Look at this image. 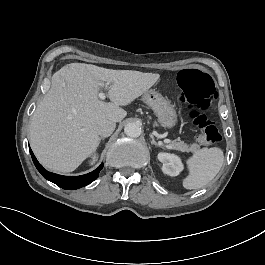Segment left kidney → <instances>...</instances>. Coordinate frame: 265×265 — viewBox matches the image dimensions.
<instances>
[{
	"mask_svg": "<svg viewBox=\"0 0 265 265\" xmlns=\"http://www.w3.org/2000/svg\"><path fill=\"white\" fill-rule=\"evenodd\" d=\"M157 157L163 164L162 171L164 174L177 176L184 169L181 159L175 154L161 152Z\"/></svg>",
	"mask_w": 265,
	"mask_h": 265,
	"instance_id": "1",
	"label": "left kidney"
}]
</instances>
